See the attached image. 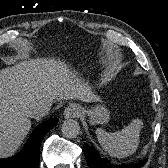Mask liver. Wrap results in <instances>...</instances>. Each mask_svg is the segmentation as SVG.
Returning <instances> with one entry per match:
<instances>
[{
	"instance_id": "obj_1",
	"label": "liver",
	"mask_w": 168,
	"mask_h": 168,
	"mask_svg": "<svg viewBox=\"0 0 168 168\" xmlns=\"http://www.w3.org/2000/svg\"><path fill=\"white\" fill-rule=\"evenodd\" d=\"M70 99L99 100L61 61L31 59L0 70V158L14 154L27 136L33 107Z\"/></svg>"
}]
</instances>
